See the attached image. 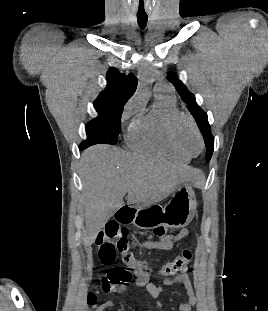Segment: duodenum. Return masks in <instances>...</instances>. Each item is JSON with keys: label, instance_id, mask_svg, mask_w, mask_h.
Listing matches in <instances>:
<instances>
[{"label": "duodenum", "instance_id": "1", "mask_svg": "<svg viewBox=\"0 0 268 311\" xmlns=\"http://www.w3.org/2000/svg\"><path fill=\"white\" fill-rule=\"evenodd\" d=\"M134 214V211L130 207H123L117 212V217L120 221H124L130 217H132Z\"/></svg>", "mask_w": 268, "mask_h": 311}]
</instances>
